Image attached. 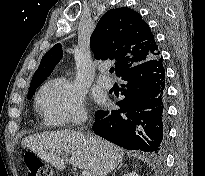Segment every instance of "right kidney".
Listing matches in <instances>:
<instances>
[{
    "label": "right kidney",
    "mask_w": 205,
    "mask_h": 176,
    "mask_svg": "<svg viewBox=\"0 0 205 176\" xmlns=\"http://www.w3.org/2000/svg\"><path fill=\"white\" fill-rule=\"evenodd\" d=\"M123 176H139V175L134 172V173H127V174H125Z\"/></svg>",
    "instance_id": "right-kidney-1"
}]
</instances>
